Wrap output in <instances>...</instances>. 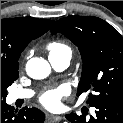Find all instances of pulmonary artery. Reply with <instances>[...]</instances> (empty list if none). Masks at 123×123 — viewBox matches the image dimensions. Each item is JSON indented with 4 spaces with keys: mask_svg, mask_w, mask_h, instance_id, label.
<instances>
[{
    "mask_svg": "<svg viewBox=\"0 0 123 123\" xmlns=\"http://www.w3.org/2000/svg\"><path fill=\"white\" fill-rule=\"evenodd\" d=\"M71 55L63 54L58 56H49V61L56 70H64L70 64ZM13 100L29 99L33 96V91L28 89L14 90L10 94Z\"/></svg>",
    "mask_w": 123,
    "mask_h": 123,
    "instance_id": "1",
    "label": "pulmonary artery"
}]
</instances>
